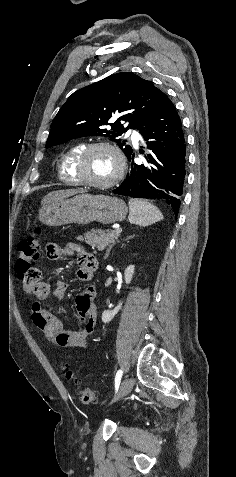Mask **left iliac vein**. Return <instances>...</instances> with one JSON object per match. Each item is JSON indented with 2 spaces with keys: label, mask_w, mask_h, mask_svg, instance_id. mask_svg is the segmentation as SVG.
Listing matches in <instances>:
<instances>
[{
  "label": "left iliac vein",
  "mask_w": 236,
  "mask_h": 477,
  "mask_svg": "<svg viewBox=\"0 0 236 477\" xmlns=\"http://www.w3.org/2000/svg\"><path fill=\"white\" fill-rule=\"evenodd\" d=\"M133 386H134V379L126 378L120 386L119 398L121 399L127 396L131 392ZM111 406L113 407L114 405L112 404Z\"/></svg>",
  "instance_id": "obj_1"
}]
</instances>
